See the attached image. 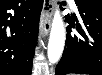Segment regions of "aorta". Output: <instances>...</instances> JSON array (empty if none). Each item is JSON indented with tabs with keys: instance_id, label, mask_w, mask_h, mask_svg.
<instances>
[{
	"instance_id": "aorta-1",
	"label": "aorta",
	"mask_w": 102,
	"mask_h": 75,
	"mask_svg": "<svg viewBox=\"0 0 102 75\" xmlns=\"http://www.w3.org/2000/svg\"><path fill=\"white\" fill-rule=\"evenodd\" d=\"M65 44V27L60 11L56 10L52 21L47 56L50 63H56L61 58Z\"/></svg>"
}]
</instances>
